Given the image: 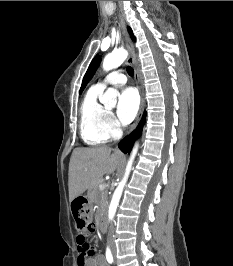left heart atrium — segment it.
Returning a JSON list of instances; mask_svg holds the SVG:
<instances>
[{
  "label": "left heart atrium",
  "mask_w": 233,
  "mask_h": 266,
  "mask_svg": "<svg viewBox=\"0 0 233 266\" xmlns=\"http://www.w3.org/2000/svg\"><path fill=\"white\" fill-rule=\"evenodd\" d=\"M139 96L135 89L128 87L122 90L117 105V116L123 124L130 123L137 115Z\"/></svg>",
  "instance_id": "obj_1"
}]
</instances>
